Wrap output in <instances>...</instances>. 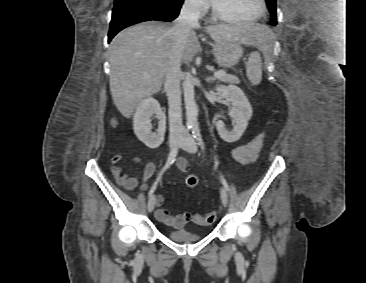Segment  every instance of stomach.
<instances>
[{
    "label": "stomach",
    "mask_w": 366,
    "mask_h": 283,
    "mask_svg": "<svg viewBox=\"0 0 366 283\" xmlns=\"http://www.w3.org/2000/svg\"><path fill=\"white\" fill-rule=\"evenodd\" d=\"M213 51L218 65L223 68L232 67L243 54L240 42L225 39L215 41Z\"/></svg>",
    "instance_id": "0dacf381"
}]
</instances>
